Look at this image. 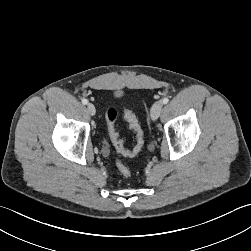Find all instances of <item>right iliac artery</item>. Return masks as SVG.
I'll return each mask as SVG.
<instances>
[{"label": "right iliac artery", "mask_w": 251, "mask_h": 251, "mask_svg": "<svg viewBox=\"0 0 251 251\" xmlns=\"http://www.w3.org/2000/svg\"><path fill=\"white\" fill-rule=\"evenodd\" d=\"M82 103H83L84 105H86V104L88 103V101H87L86 99H82Z\"/></svg>", "instance_id": "1"}]
</instances>
